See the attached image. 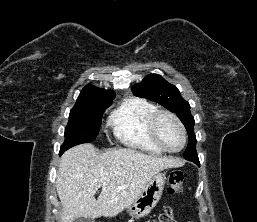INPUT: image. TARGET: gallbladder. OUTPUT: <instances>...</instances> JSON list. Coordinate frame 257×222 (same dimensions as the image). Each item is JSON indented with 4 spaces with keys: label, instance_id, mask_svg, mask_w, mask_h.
<instances>
[{
    "label": "gallbladder",
    "instance_id": "obj_1",
    "mask_svg": "<svg viewBox=\"0 0 257 222\" xmlns=\"http://www.w3.org/2000/svg\"><path fill=\"white\" fill-rule=\"evenodd\" d=\"M74 222H94V221L90 218L79 217L75 219Z\"/></svg>",
    "mask_w": 257,
    "mask_h": 222
}]
</instances>
